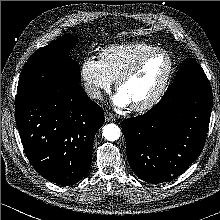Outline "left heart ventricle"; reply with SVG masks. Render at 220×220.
<instances>
[{
    "label": "left heart ventricle",
    "mask_w": 220,
    "mask_h": 220,
    "mask_svg": "<svg viewBox=\"0 0 220 220\" xmlns=\"http://www.w3.org/2000/svg\"><path fill=\"white\" fill-rule=\"evenodd\" d=\"M169 70V60L163 54H157L144 62L140 70L119 88L136 105L149 99L162 84Z\"/></svg>",
    "instance_id": "b2bd125f"
}]
</instances>
